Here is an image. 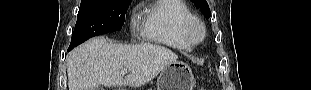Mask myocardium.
Returning <instances> with one entry per match:
<instances>
[{"instance_id": "f54148a6", "label": "myocardium", "mask_w": 311, "mask_h": 90, "mask_svg": "<svg viewBox=\"0 0 311 90\" xmlns=\"http://www.w3.org/2000/svg\"><path fill=\"white\" fill-rule=\"evenodd\" d=\"M184 36L193 45L202 43L206 36L204 24L198 19L189 21L184 26Z\"/></svg>"}]
</instances>
